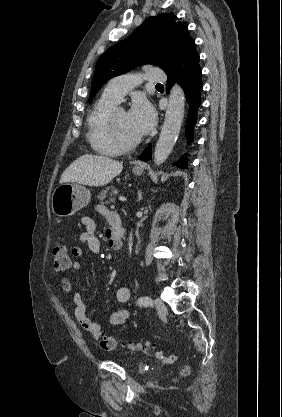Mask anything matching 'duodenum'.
Masks as SVG:
<instances>
[{
    "label": "duodenum",
    "instance_id": "410a0bca",
    "mask_svg": "<svg viewBox=\"0 0 282 417\" xmlns=\"http://www.w3.org/2000/svg\"><path fill=\"white\" fill-rule=\"evenodd\" d=\"M124 235V228L122 226H119L116 230V235H115V239L116 241H118V243H112V248L113 249H120L121 248V241H122V237Z\"/></svg>",
    "mask_w": 282,
    "mask_h": 417
}]
</instances>
